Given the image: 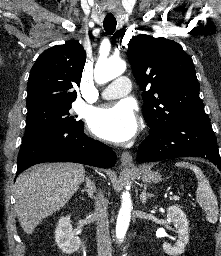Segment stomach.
Instances as JSON below:
<instances>
[{"label": "stomach", "instance_id": "stomach-1", "mask_svg": "<svg viewBox=\"0 0 221 256\" xmlns=\"http://www.w3.org/2000/svg\"><path fill=\"white\" fill-rule=\"evenodd\" d=\"M133 171L135 173L141 175L142 180L145 183H157V182H160L162 180V177L159 173L153 172L145 166L134 169Z\"/></svg>", "mask_w": 221, "mask_h": 256}]
</instances>
